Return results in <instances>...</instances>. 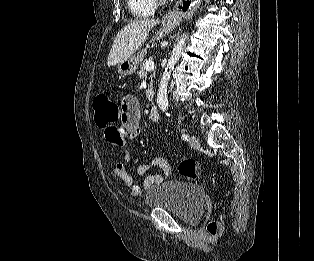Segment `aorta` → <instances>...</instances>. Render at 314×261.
I'll return each mask as SVG.
<instances>
[{
  "mask_svg": "<svg viewBox=\"0 0 314 261\" xmlns=\"http://www.w3.org/2000/svg\"><path fill=\"white\" fill-rule=\"evenodd\" d=\"M188 39V34L184 33L177 43L175 44L171 56L168 60V63L165 67L164 73L162 75L160 84H159V89H158V94H157V103L162 111H166L168 107V99H167V85L171 77V73L178 62L181 52L186 44V41Z\"/></svg>",
  "mask_w": 314,
  "mask_h": 261,
  "instance_id": "762f6f07",
  "label": "aorta"
}]
</instances>
